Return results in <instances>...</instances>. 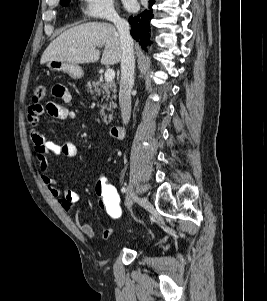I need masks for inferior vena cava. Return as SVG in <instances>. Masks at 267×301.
<instances>
[{"label":"inferior vena cava","mask_w":267,"mask_h":301,"mask_svg":"<svg viewBox=\"0 0 267 301\" xmlns=\"http://www.w3.org/2000/svg\"><path fill=\"white\" fill-rule=\"evenodd\" d=\"M111 21L117 28L122 46L119 104L123 123L128 124L131 115V90L134 85V43L130 35L129 23L126 20L113 15Z\"/></svg>","instance_id":"obj_1"}]
</instances>
